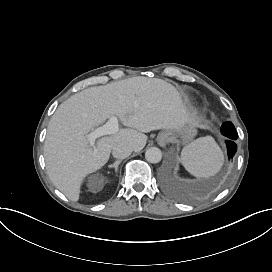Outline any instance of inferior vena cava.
Wrapping results in <instances>:
<instances>
[{"label": "inferior vena cava", "mask_w": 272, "mask_h": 272, "mask_svg": "<svg viewBox=\"0 0 272 272\" xmlns=\"http://www.w3.org/2000/svg\"><path fill=\"white\" fill-rule=\"evenodd\" d=\"M133 151V148L127 144L119 143L112 148V154L115 158L124 159Z\"/></svg>", "instance_id": "inferior-vena-cava-1"}]
</instances>
